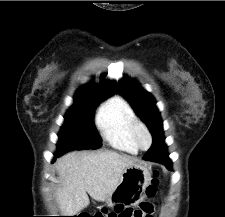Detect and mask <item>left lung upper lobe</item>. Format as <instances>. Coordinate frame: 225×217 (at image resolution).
<instances>
[{"label": "left lung upper lobe", "mask_w": 225, "mask_h": 217, "mask_svg": "<svg viewBox=\"0 0 225 217\" xmlns=\"http://www.w3.org/2000/svg\"><path fill=\"white\" fill-rule=\"evenodd\" d=\"M116 92L120 93L129 101L136 114L148 126L153 136V142H158L162 150L167 154L162 120L153 96L142 89L136 80H130L127 76H124L123 79L117 83Z\"/></svg>", "instance_id": "left-lung-upper-lobe-1"}]
</instances>
